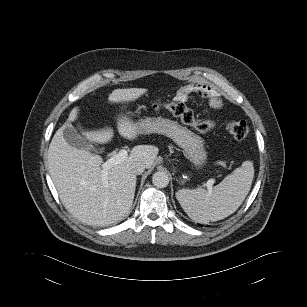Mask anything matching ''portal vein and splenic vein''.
<instances>
[{
    "instance_id": "portal-vein-and-splenic-vein-1",
    "label": "portal vein and splenic vein",
    "mask_w": 307,
    "mask_h": 307,
    "mask_svg": "<svg viewBox=\"0 0 307 307\" xmlns=\"http://www.w3.org/2000/svg\"><path fill=\"white\" fill-rule=\"evenodd\" d=\"M128 156V152L125 149H121L119 150L118 153L114 154L113 156H111L105 163L102 164V168H103V178L106 179L107 175H108V170L117 164H120L121 162H123ZM208 188L210 189L213 181L209 180L208 181Z\"/></svg>"
}]
</instances>
